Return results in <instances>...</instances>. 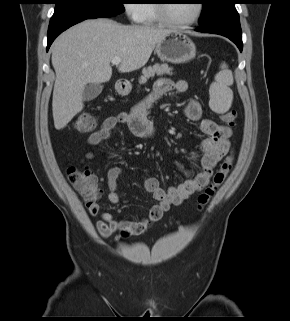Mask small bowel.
I'll list each match as a JSON object with an SVG mask.
<instances>
[{"mask_svg": "<svg viewBox=\"0 0 290 321\" xmlns=\"http://www.w3.org/2000/svg\"><path fill=\"white\" fill-rule=\"evenodd\" d=\"M187 88L188 84L185 80L173 82L167 78L159 79L155 84L154 90L138 102L130 112L105 118L100 127L88 137V144L95 146L108 139L112 130L119 123L126 124L136 137L151 138L156 132V127L148 119V108L161 96L173 90L183 93ZM184 114L189 120L198 122L200 131L207 136L199 144L201 169L185 181L170 186L167 190L160 186L156 178H147L144 187L157 203L150 208L146 217L138 221L118 220L110 213L101 211L97 202L87 205L90 215L97 216L100 214L101 216V219L97 220L95 225L102 237L107 238L114 231L124 226L129 227L134 234L144 233L152 223L159 221L171 206L182 204L208 183L214 166L228 151L229 138L232 131L228 126L220 125L211 119L204 118L202 116L201 105L195 99L187 101L184 107ZM93 156L92 152L86 155L88 159H92ZM121 173L122 169L119 166H114L109 169L107 174V184L109 187L107 198L114 204L119 203L121 200V196L117 191V180Z\"/></svg>", "mask_w": 290, "mask_h": 321, "instance_id": "obj_1", "label": "small bowel"}]
</instances>
